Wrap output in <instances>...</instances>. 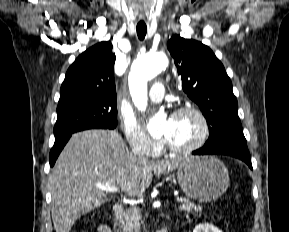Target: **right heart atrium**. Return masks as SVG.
<instances>
[{
  "label": "right heart atrium",
  "mask_w": 289,
  "mask_h": 232,
  "mask_svg": "<svg viewBox=\"0 0 289 232\" xmlns=\"http://www.w3.org/2000/svg\"><path fill=\"white\" fill-rule=\"evenodd\" d=\"M122 129L130 148L134 152L146 156H155L160 152L162 142L149 136L134 118L123 117Z\"/></svg>",
  "instance_id": "d8ad5b80"
}]
</instances>
